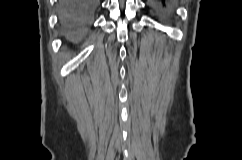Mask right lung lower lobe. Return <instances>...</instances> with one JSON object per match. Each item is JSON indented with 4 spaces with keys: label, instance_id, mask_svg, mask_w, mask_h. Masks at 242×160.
<instances>
[{
    "label": "right lung lower lobe",
    "instance_id": "right-lung-lower-lobe-1",
    "mask_svg": "<svg viewBox=\"0 0 242 160\" xmlns=\"http://www.w3.org/2000/svg\"><path fill=\"white\" fill-rule=\"evenodd\" d=\"M100 0H60V22L69 38L78 36L91 22Z\"/></svg>",
    "mask_w": 242,
    "mask_h": 160
}]
</instances>
